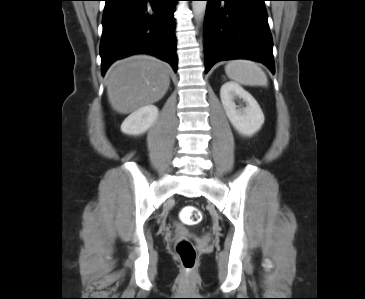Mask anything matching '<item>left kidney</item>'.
Segmentation results:
<instances>
[{"mask_svg": "<svg viewBox=\"0 0 365 299\" xmlns=\"http://www.w3.org/2000/svg\"><path fill=\"white\" fill-rule=\"evenodd\" d=\"M220 98L229 121L240 134L252 136L261 129L265 120L263 112L253 96L241 86L225 83L220 89Z\"/></svg>", "mask_w": 365, "mask_h": 299, "instance_id": "left-kidney-1", "label": "left kidney"}]
</instances>
